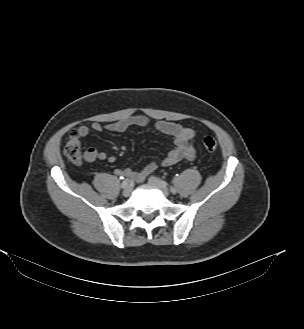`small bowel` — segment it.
<instances>
[{
	"label": "small bowel",
	"instance_id": "small-bowel-1",
	"mask_svg": "<svg viewBox=\"0 0 304 329\" xmlns=\"http://www.w3.org/2000/svg\"><path fill=\"white\" fill-rule=\"evenodd\" d=\"M150 124L151 120L147 116L132 115L108 124L95 122L91 124V126L82 125L77 128V131L81 137H85L90 131L101 132L106 130L111 132H124L132 126L147 127ZM154 127L159 132L172 137L174 141L172 150L162 162L164 166H170L180 161H191L194 159L195 149L193 147V140L195 137V131L192 128L183 127L179 124L165 120L155 122ZM84 160L86 162L106 160L112 163L116 160V157L105 152H100L95 148H88L84 152ZM156 168L157 164L151 162L139 171L117 169L115 173L119 176L130 177L135 181L142 182L153 173Z\"/></svg>",
	"mask_w": 304,
	"mask_h": 329
}]
</instances>
